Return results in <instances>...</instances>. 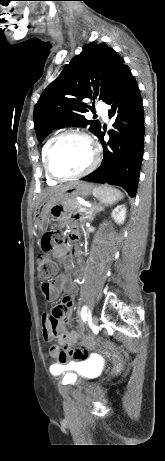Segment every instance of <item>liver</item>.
I'll return each mask as SVG.
<instances>
[{
	"mask_svg": "<svg viewBox=\"0 0 165 461\" xmlns=\"http://www.w3.org/2000/svg\"><path fill=\"white\" fill-rule=\"evenodd\" d=\"M60 189H61V188H54V189H51V190L47 191L46 193H44L42 197H45V196H47L48 194L57 192V191L60 190Z\"/></svg>",
	"mask_w": 165,
	"mask_h": 461,
	"instance_id": "6515ba94",
	"label": "liver"
}]
</instances>
